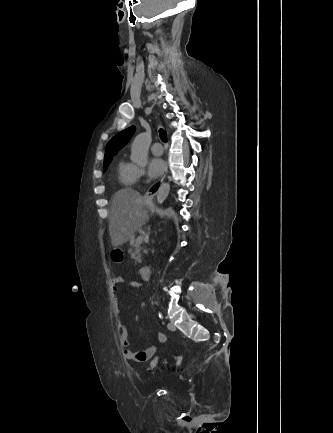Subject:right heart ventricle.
Instances as JSON below:
<instances>
[{
	"instance_id": "1",
	"label": "right heart ventricle",
	"mask_w": 333,
	"mask_h": 433,
	"mask_svg": "<svg viewBox=\"0 0 333 433\" xmlns=\"http://www.w3.org/2000/svg\"><path fill=\"white\" fill-rule=\"evenodd\" d=\"M116 171L118 182L124 188L133 186L138 180L137 167L129 161L119 159L116 164Z\"/></svg>"
}]
</instances>
